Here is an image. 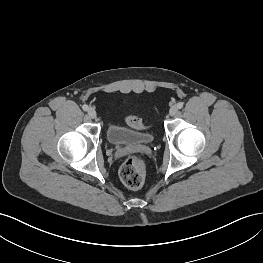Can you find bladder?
Segmentation results:
<instances>
[{"instance_id":"bladder-1","label":"bladder","mask_w":263,"mask_h":263,"mask_svg":"<svg viewBox=\"0 0 263 263\" xmlns=\"http://www.w3.org/2000/svg\"><path fill=\"white\" fill-rule=\"evenodd\" d=\"M106 137L114 146L148 145L153 141L152 131L135 130L115 121L108 123Z\"/></svg>"}]
</instances>
